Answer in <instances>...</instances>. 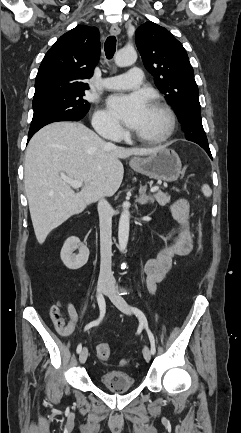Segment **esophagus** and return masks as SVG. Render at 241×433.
I'll list each match as a JSON object with an SVG mask.
<instances>
[{
  "mask_svg": "<svg viewBox=\"0 0 241 433\" xmlns=\"http://www.w3.org/2000/svg\"><path fill=\"white\" fill-rule=\"evenodd\" d=\"M120 32H121V30H120V28L118 27V25L114 24V25L111 26V28H110V33H111L112 35H119Z\"/></svg>",
  "mask_w": 241,
  "mask_h": 433,
  "instance_id": "obj_1",
  "label": "esophagus"
}]
</instances>
